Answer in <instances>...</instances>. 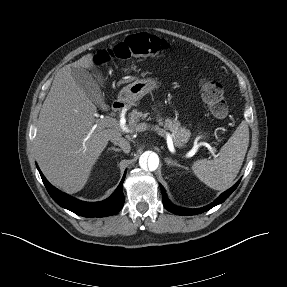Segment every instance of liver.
Returning <instances> with one entry per match:
<instances>
[{"label": "liver", "mask_w": 287, "mask_h": 287, "mask_svg": "<svg viewBox=\"0 0 287 287\" xmlns=\"http://www.w3.org/2000/svg\"><path fill=\"white\" fill-rule=\"evenodd\" d=\"M94 68L92 54L62 67L53 80L42 105L35 151L46 178L66 193L80 191L91 170L112 137H120L116 128L97 126V108L76 84L71 68ZM98 80L102 78L98 75Z\"/></svg>", "instance_id": "obj_1"}]
</instances>
